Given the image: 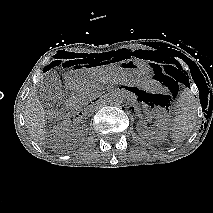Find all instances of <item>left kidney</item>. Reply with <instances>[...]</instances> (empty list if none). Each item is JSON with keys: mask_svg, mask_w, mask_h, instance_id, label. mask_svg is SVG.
<instances>
[{"mask_svg": "<svg viewBox=\"0 0 213 213\" xmlns=\"http://www.w3.org/2000/svg\"><path fill=\"white\" fill-rule=\"evenodd\" d=\"M153 116L156 118V126L152 129L148 128L143 121L138 125L140 136L145 138L163 139L168 134L169 120L164 110H155Z\"/></svg>", "mask_w": 213, "mask_h": 213, "instance_id": "1", "label": "left kidney"}]
</instances>
